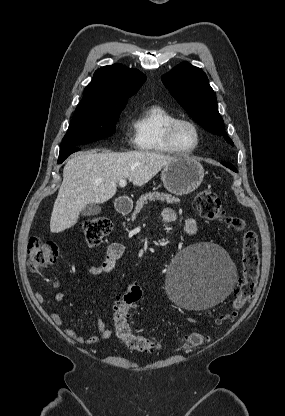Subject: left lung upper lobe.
Listing matches in <instances>:
<instances>
[{"mask_svg": "<svg viewBox=\"0 0 285 416\" xmlns=\"http://www.w3.org/2000/svg\"><path fill=\"white\" fill-rule=\"evenodd\" d=\"M166 88L186 112L205 130L232 140L224 131V122L218 112L216 94L206 74L188 62H183L162 77Z\"/></svg>", "mask_w": 285, "mask_h": 416, "instance_id": "obj_1", "label": "left lung upper lobe"}]
</instances>
